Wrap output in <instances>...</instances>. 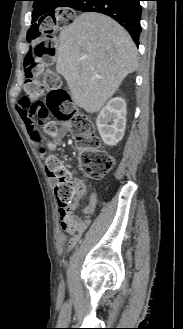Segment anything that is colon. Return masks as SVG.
<instances>
[{"instance_id":"1","label":"colon","mask_w":183,"mask_h":329,"mask_svg":"<svg viewBox=\"0 0 183 329\" xmlns=\"http://www.w3.org/2000/svg\"><path fill=\"white\" fill-rule=\"evenodd\" d=\"M75 21V14L61 10L58 14H41V19H35L27 38L31 46L23 63L25 75L24 96H18V114H32L39 119L40 128L47 134L56 131L51 117L67 121L80 153V167L84 175L90 179H102L113 167L114 158L99 148V140L95 135L92 121L86 115L75 111L69 94L61 88L56 74L47 70L43 73L41 63L50 64L55 55V38L64 26H70ZM38 81H45L49 88L46 102L41 99V87ZM38 132V127L34 126ZM39 134V133H38ZM52 148V144H48ZM47 175L56 180L55 194L61 212H69L76 208L79 200V190L75 179L70 175L64 164L53 154H49L44 163ZM62 227L70 233L79 234L77 225L65 223Z\"/></svg>"}]
</instances>
